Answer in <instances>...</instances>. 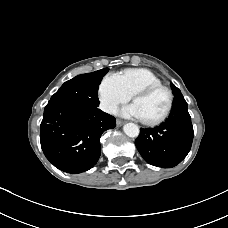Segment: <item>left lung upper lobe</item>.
<instances>
[{"label":"left lung upper lobe","instance_id":"left-lung-upper-lobe-1","mask_svg":"<svg viewBox=\"0 0 228 228\" xmlns=\"http://www.w3.org/2000/svg\"><path fill=\"white\" fill-rule=\"evenodd\" d=\"M172 88L174 91V95L181 93L180 90L174 84H172Z\"/></svg>","mask_w":228,"mask_h":228}]
</instances>
